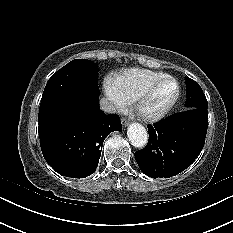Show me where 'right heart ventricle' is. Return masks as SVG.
I'll list each match as a JSON object with an SVG mask.
<instances>
[{
  "mask_svg": "<svg viewBox=\"0 0 233 233\" xmlns=\"http://www.w3.org/2000/svg\"><path fill=\"white\" fill-rule=\"evenodd\" d=\"M166 76L161 72L133 68L113 80L117 90L129 101H134L150 84Z\"/></svg>",
  "mask_w": 233,
  "mask_h": 233,
  "instance_id": "obj_1",
  "label": "right heart ventricle"
}]
</instances>
